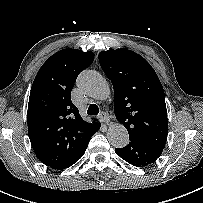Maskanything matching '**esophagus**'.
Listing matches in <instances>:
<instances>
[{
  "instance_id": "1",
  "label": "esophagus",
  "mask_w": 203,
  "mask_h": 203,
  "mask_svg": "<svg viewBox=\"0 0 203 203\" xmlns=\"http://www.w3.org/2000/svg\"><path fill=\"white\" fill-rule=\"evenodd\" d=\"M98 118L102 123L108 124L110 122L109 116L105 112H101Z\"/></svg>"
}]
</instances>
